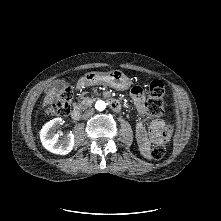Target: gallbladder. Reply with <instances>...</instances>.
<instances>
[{
	"label": "gallbladder",
	"instance_id": "bac80fb5",
	"mask_svg": "<svg viewBox=\"0 0 221 221\" xmlns=\"http://www.w3.org/2000/svg\"><path fill=\"white\" fill-rule=\"evenodd\" d=\"M54 87H56L57 90L63 92L67 87V83L65 81H57L54 83Z\"/></svg>",
	"mask_w": 221,
	"mask_h": 221
}]
</instances>
